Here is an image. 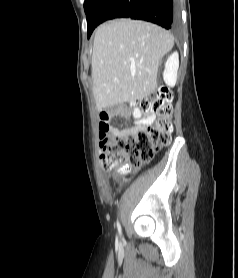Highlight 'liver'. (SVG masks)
Returning a JSON list of instances; mask_svg holds the SVG:
<instances>
[{"label": "liver", "instance_id": "6515ba94", "mask_svg": "<svg viewBox=\"0 0 238 278\" xmlns=\"http://www.w3.org/2000/svg\"><path fill=\"white\" fill-rule=\"evenodd\" d=\"M173 36L145 21L117 19L96 29L91 73L98 110L142 101L157 88L159 63Z\"/></svg>", "mask_w": 238, "mask_h": 278}]
</instances>
